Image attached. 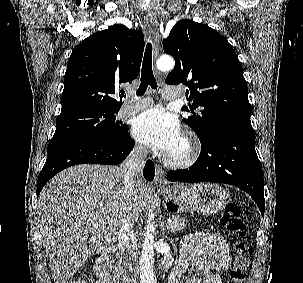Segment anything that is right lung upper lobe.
Listing matches in <instances>:
<instances>
[{
  "label": "right lung upper lobe",
  "instance_id": "cb5924a9",
  "mask_svg": "<svg viewBox=\"0 0 303 283\" xmlns=\"http://www.w3.org/2000/svg\"><path fill=\"white\" fill-rule=\"evenodd\" d=\"M144 50L141 30L114 25L83 40L73 51L64 76L59 116L87 110L118 111L119 84L140 72ZM121 93V94H120Z\"/></svg>",
  "mask_w": 303,
  "mask_h": 283
}]
</instances>
